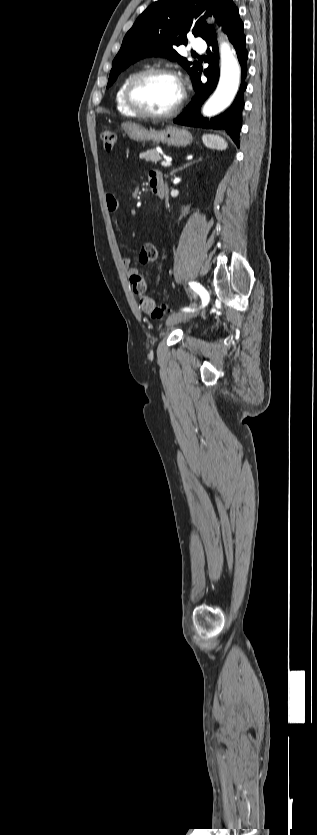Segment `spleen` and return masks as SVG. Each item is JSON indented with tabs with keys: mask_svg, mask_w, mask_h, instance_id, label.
<instances>
[{
	"mask_svg": "<svg viewBox=\"0 0 317 835\" xmlns=\"http://www.w3.org/2000/svg\"><path fill=\"white\" fill-rule=\"evenodd\" d=\"M202 140L206 147L214 150H225L228 147V143L219 135L215 134H204L202 136Z\"/></svg>",
	"mask_w": 317,
	"mask_h": 835,
	"instance_id": "3e777b00",
	"label": "spleen"
}]
</instances>
